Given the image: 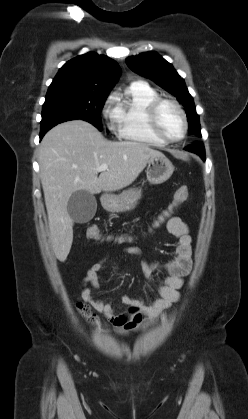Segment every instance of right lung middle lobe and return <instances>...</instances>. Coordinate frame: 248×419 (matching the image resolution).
<instances>
[{
  "label": "right lung middle lobe",
  "instance_id": "dd1d6c3e",
  "mask_svg": "<svg viewBox=\"0 0 248 419\" xmlns=\"http://www.w3.org/2000/svg\"><path fill=\"white\" fill-rule=\"evenodd\" d=\"M108 94L77 89H48L42 109L41 125L60 118L82 119L100 131V112Z\"/></svg>",
  "mask_w": 248,
  "mask_h": 419
}]
</instances>
